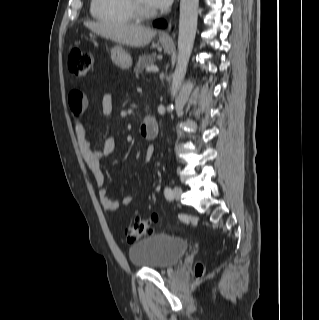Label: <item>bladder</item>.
Listing matches in <instances>:
<instances>
[{"label": "bladder", "mask_w": 319, "mask_h": 320, "mask_svg": "<svg viewBox=\"0 0 319 320\" xmlns=\"http://www.w3.org/2000/svg\"><path fill=\"white\" fill-rule=\"evenodd\" d=\"M188 249L186 241L167 234L145 236L128 249L130 262L138 268L166 269L176 265Z\"/></svg>", "instance_id": "bladder-1"}]
</instances>
